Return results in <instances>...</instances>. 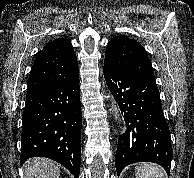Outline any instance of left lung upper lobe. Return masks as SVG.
Wrapping results in <instances>:
<instances>
[{
    "instance_id": "left-lung-upper-lobe-1",
    "label": "left lung upper lobe",
    "mask_w": 194,
    "mask_h": 178,
    "mask_svg": "<svg viewBox=\"0 0 194 178\" xmlns=\"http://www.w3.org/2000/svg\"><path fill=\"white\" fill-rule=\"evenodd\" d=\"M105 62L133 75L155 81L153 68L144 47L125 35L110 40Z\"/></svg>"
}]
</instances>
